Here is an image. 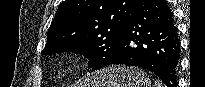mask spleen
I'll list each match as a JSON object with an SVG mask.
<instances>
[{"instance_id": "1", "label": "spleen", "mask_w": 205, "mask_h": 87, "mask_svg": "<svg viewBox=\"0 0 205 87\" xmlns=\"http://www.w3.org/2000/svg\"><path fill=\"white\" fill-rule=\"evenodd\" d=\"M155 87H163V85L161 82L155 81Z\"/></svg>"}]
</instances>
